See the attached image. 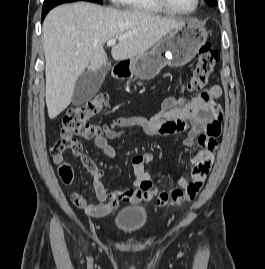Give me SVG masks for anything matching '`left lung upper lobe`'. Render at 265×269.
<instances>
[{"label": "left lung upper lobe", "mask_w": 265, "mask_h": 269, "mask_svg": "<svg viewBox=\"0 0 265 269\" xmlns=\"http://www.w3.org/2000/svg\"><path fill=\"white\" fill-rule=\"evenodd\" d=\"M209 6H216L217 0H205Z\"/></svg>", "instance_id": "left-lung-upper-lobe-1"}]
</instances>
